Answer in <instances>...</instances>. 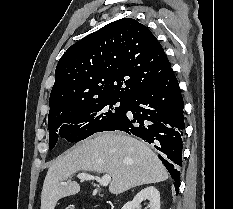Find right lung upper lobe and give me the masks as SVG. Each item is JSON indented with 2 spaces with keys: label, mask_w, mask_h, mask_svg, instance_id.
Masks as SVG:
<instances>
[{
  "label": "right lung upper lobe",
  "mask_w": 233,
  "mask_h": 209,
  "mask_svg": "<svg viewBox=\"0 0 233 209\" xmlns=\"http://www.w3.org/2000/svg\"><path fill=\"white\" fill-rule=\"evenodd\" d=\"M170 70L152 32L135 19H119L76 42L60 58L49 113L106 98L128 100Z\"/></svg>",
  "instance_id": "right-lung-upper-lobe-1"
}]
</instances>
